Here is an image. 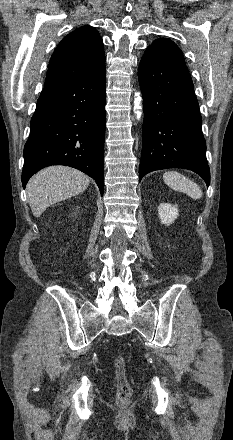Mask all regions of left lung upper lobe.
<instances>
[{"mask_svg":"<svg viewBox=\"0 0 233 440\" xmlns=\"http://www.w3.org/2000/svg\"><path fill=\"white\" fill-rule=\"evenodd\" d=\"M145 53L185 64L182 51L174 42L166 38L156 39L153 44L147 48Z\"/></svg>","mask_w":233,"mask_h":440,"instance_id":"1","label":"left lung upper lobe"}]
</instances>
